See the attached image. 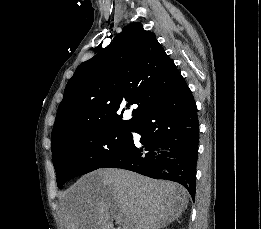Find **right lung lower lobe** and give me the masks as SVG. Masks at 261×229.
<instances>
[{"label": "right lung lower lobe", "instance_id": "obj_1", "mask_svg": "<svg viewBox=\"0 0 261 229\" xmlns=\"http://www.w3.org/2000/svg\"><path fill=\"white\" fill-rule=\"evenodd\" d=\"M142 138L101 168H122L177 182L192 199L196 193L199 143L197 106L182 78L133 128Z\"/></svg>", "mask_w": 261, "mask_h": 229}]
</instances>
